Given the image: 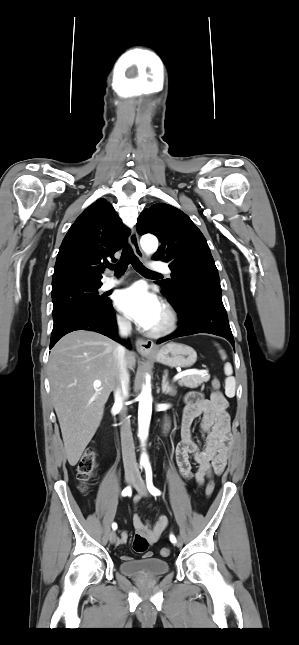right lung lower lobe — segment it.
<instances>
[{"label":"right lung lower lobe","instance_id":"1","mask_svg":"<svg viewBox=\"0 0 299 645\" xmlns=\"http://www.w3.org/2000/svg\"><path fill=\"white\" fill-rule=\"evenodd\" d=\"M76 330L95 331L130 348L128 341L121 340L117 336V324L111 301L104 308L75 313L65 318L57 325H54L51 334L50 348H52L61 337Z\"/></svg>","mask_w":299,"mask_h":645}]
</instances>
